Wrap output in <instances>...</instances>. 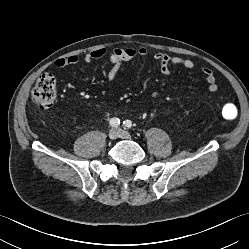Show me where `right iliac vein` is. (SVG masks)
I'll return each instance as SVG.
<instances>
[{"mask_svg":"<svg viewBox=\"0 0 249 249\" xmlns=\"http://www.w3.org/2000/svg\"><path fill=\"white\" fill-rule=\"evenodd\" d=\"M119 131L116 128L110 129L108 137L110 140H115L118 137Z\"/></svg>","mask_w":249,"mask_h":249,"instance_id":"1","label":"right iliac vein"}]
</instances>
